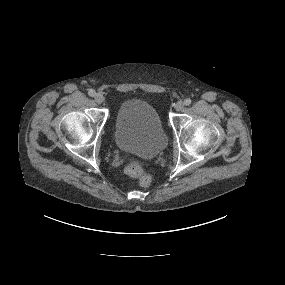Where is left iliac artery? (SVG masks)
<instances>
[{
	"mask_svg": "<svg viewBox=\"0 0 285 285\" xmlns=\"http://www.w3.org/2000/svg\"><path fill=\"white\" fill-rule=\"evenodd\" d=\"M184 104H185L186 106H189V105L191 104V99H189V98L185 99V100H184Z\"/></svg>",
	"mask_w": 285,
	"mask_h": 285,
	"instance_id": "left-iliac-artery-1",
	"label": "left iliac artery"
}]
</instances>
